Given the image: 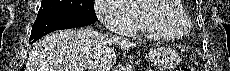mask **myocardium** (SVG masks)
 <instances>
[{
	"label": "myocardium",
	"instance_id": "f54148a6",
	"mask_svg": "<svg viewBox=\"0 0 230 71\" xmlns=\"http://www.w3.org/2000/svg\"><path fill=\"white\" fill-rule=\"evenodd\" d=\"M179 0H148L142 5L145 18L157 32L168 38L181 39L191 30V22L184 9L175 8Z\"/></svg>",
	"mask_w": 230,
	"mask_h": 71
}]
</instances>
